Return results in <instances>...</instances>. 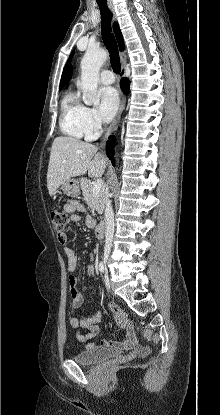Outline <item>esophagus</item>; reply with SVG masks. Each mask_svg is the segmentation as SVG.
Segmentation results:
<instances>
[{
  "label": "esophagus",
  "instance_id": "1",
  "mask_svg": "<svg viewBox=\"0 0 220 415\" xmlns=\"http://www.w3.org/2000/svg\"><path fill=\"white\" fill-rule=\"evenodd\" d=\"M109 8L112 10L113 15H114V19H115L114 10H113V6H112L111 3L109 4ZM119 57H120V62H121V72H120V74L123 77L125 75V62H126L125 53L120 51L119 52ZM124 104H125V98H124L123 93L120 92L119 108H118V111H117V114H116L114 120L112 121L110 127L108 128V130L106 132L105 138H107L110 135V133L113 132L116 129L117 124L119 123V121L121 119V115H122V112H123V109H124Z\"/></svg>",
  "mask_w": 220,
  "mask_h": 415
}]
</instances>
